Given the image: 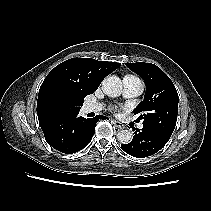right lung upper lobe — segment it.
Returning <instances> with one entry per match:
<instances>
[{
  "label": "right lung upper lobe",
  "instance_id": "obj_1",
  "mask_svg": "<svg viewBox=\"0 0 211 211\" xmlns=\"http://www.w3.org/2000/svg\"><path fill=\"white\" fill-rule=\"evenodd\" d=\"M120 65L117 62L97 61L92 58H72L57 65L40 87L37 101L38 120L58 112L48 102V96L53 90L64 89L84 98L96 91L102 80Z\"/></svg>",
  "mask_w": 211,
  "mask_h": 211
}]
</instances>
